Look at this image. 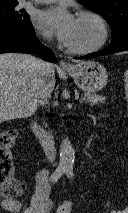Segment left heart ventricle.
Listing matches in <instances>:
<instances>
[{
    "instance_id": "1",
    "label": "left heart ventricle",
    "mask_w": 128,
    "mask_h": 213,
    "mask_svg": "<svg viewBox=\"0 0 128 213\" xmlns=\"http://www.w3.org/2000/svg\"><path fill=\"white\" fill-rule=\"evenodd\" d=\"M100 38L98 24L92 19L78 18L76 27L68 46L85 48L95 44Z\"/></svg>"
}]
</instances>
